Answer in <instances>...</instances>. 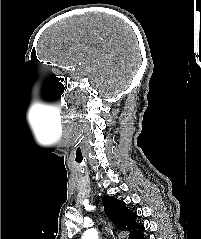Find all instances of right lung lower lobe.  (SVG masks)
<instances>
[{
	"mask_svg": "<svg viewBox=\"0 0 201 239\" xmlns=\"http://www.w3.org/2000/svg\"><path fill=\"white\" fill-rule=\"evenodd\" d=\"M139 239H145L143 235H141V237H139Z\"/></svg>",
	"mask_w": 201,
	"mask_h": 239,
	"instance_id": "right-lung-lower-lobe-1",
	"label": "right lung lower lobe"
}]
</instances>
